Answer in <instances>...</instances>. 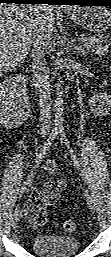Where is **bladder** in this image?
Returning a JSON list of instances; mask_svg holds the SVG:
<instances>
[{
	"mask_svg": "<svg viewBox=\"0 0 111 257\" xmlns=\"http://www.w3.org/2000/svg\"><path fill=\"white\" fill-rule=\"evenodd\" d=\"M31 248L40 257H72L79 250V241L71 236L38 235Z\"/></svg>",
	"mask_w": 111,
	"mask_h": 257,
	"instance_id": "31cf9c89",
	"label": "bladder"
}]
</instances>
